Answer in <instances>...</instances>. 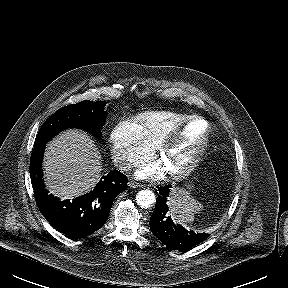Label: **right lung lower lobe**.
<instances>
[{
    "instance_id": "obj_1",
    "label": "right lung lower lobe",
    "mask_w": 288,
    "mask_h": 288,
    "mask_svg": "<svg viewBox=\"0 0 288 288\" xmlns=\"http://www.w3.org/2000/svg\"><path fill=\"white\" fill-rule=\"evenodd\" d=\"M45 144L34 146L30 176L39 210L59 232L71 238H83L106 222L116 196L127 189V178L118 170L101 177L89 193L73 200H59L49 195L42 180V158Z\"/></svg>"
}]
</instances>
